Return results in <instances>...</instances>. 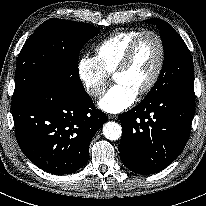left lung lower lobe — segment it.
Listing matches in <instances>:
<instances>
[{
	"mask_svg": "<svg viewBox=\"0 0 206 206\" xmlns=\"http://www.w3.org/2000/svg\"><path fill=\"white\" fill-rule=\"evenodd\" d=\"M195 113L194 90L141 102L120 116V158L131 171L148 175L170 165L183 151Z\"/></svg>",
	"mask_w": 206,
	"mask_h": 206,
	"instance_id": "obj_1",
	"label": "left lung lower lobe"
}]
</instances>
